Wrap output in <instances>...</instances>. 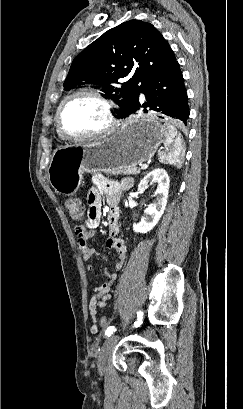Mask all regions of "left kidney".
I'll list each match as a JSON object with an SVG mask.
<instances>
[{"mask_svg": "<svg viewBox=\"0 0 243 409\" xmlns=\"http://www.w3.org/2000/svg\"><path fill=\"white\" fill-rule=\"evenodd\" d=\"M152 183H158V187L153 195L155 200L144 210V216L141 218V221L133 224V230L136 233H147L152 230L159 222L167 204L170 186L167 172L160 168L149 172L140 181L138 190H145Z\"/></svg>", "mask_w": 243, "mask_h": 409, "instance_id": "obj_1", "label": "left kidney"}]
</instances>
